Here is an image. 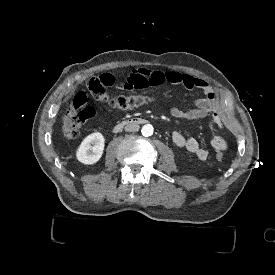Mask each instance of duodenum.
I'll return each mask as SVG.
<instances>
[{"label": "duodenum", "instance_id": "duodenum-1", "mask_svg": "<svg viewBox=\"0 0 275 275\" xmlns=\"http://www.w3.org/2000/svg\"><path fill=\"white\" fill-rule=\"evenodd\" d=\"M146 122V119L142 117H132L127 118L115 125V129H120L122 127L128 126V125H142Z\"/></svg>", "mask_w": 275, "mask_h": 275}]
</instances>
